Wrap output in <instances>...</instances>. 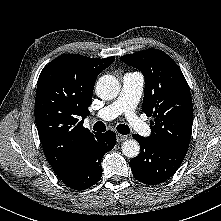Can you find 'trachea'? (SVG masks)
<instances>
[{
    "instance_id": "obj_1",
    "label": "trachea",
    "mask_w": 221,
    "mask_h": 221,
    "mask_svg": "<svg viewBox=\"0 0 221 221\" xmlns=\"http://www.w3.org/2000/svg\"><path fill=\"white\" fill-rule=\"evenodd\" d=\"M93 130L97 132H104L106 130V126L103 122L98 121L93 125ZM117 131L120 134L127 135L130 133V128L125 124H119L117 126Z\"/></svg>"
}]
</instances>
